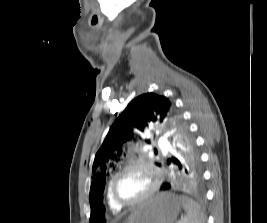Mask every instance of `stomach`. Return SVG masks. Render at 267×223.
<instances>
[{
	"mask_svg": "<svg viewBox=\"0 0 267 223\" xmlns=\"http://www.w3.org/2000/svg\"><path fill=\"white\" fill-rule=\"evenodd\" d=\"M180 210L181 201L178 196L161 192L138 205L126 223H174Z\"/></svg>",
	"mask_w": 267,
	"mask_h": 223,
	"instance_id": "obj_1",
	"label": "stomach"
}]
</instances>
